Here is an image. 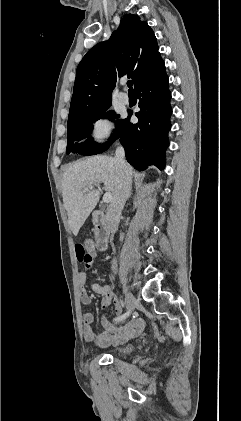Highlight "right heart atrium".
I'll return each instance as SVG.
<instances>
[{
    "instance_id": "1",
    "label": "right heart atrium",
    "mask_w": 241,
    "mask_h": 421,
    "mask_svg": "<svg viewBox=\"0 0 241 421\" xmlns=\"http://www.w3.org/2000/svg\"><path fill=\"white\" fill-rule=\"evenodd\" d=\"M114 135V126L107 116L94 119L90 125L89 138L95 145H103Z\"/></svg>"
}]
</instances>
